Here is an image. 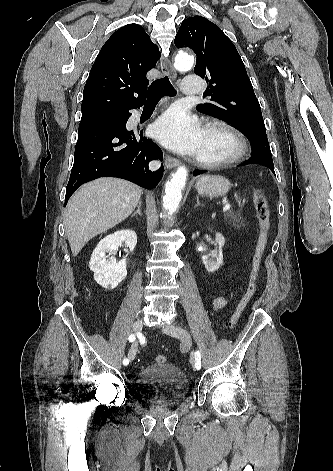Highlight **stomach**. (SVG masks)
<instances>
[{
  "mask_svg": "<svg viewBox=\"0 0 333 471\" xmlns=\"http://www.w3.org/2000/svg\"><path fill=\"white\" fill-rule=\"evenodd\" d=\"M195 189L202 195L221 197L229 191L230 183L220 175H203L196 182Z\"/></svg>",
  "mask_w": 333,
  "mask_h": 471,
  "instance_id": "1",
  "label": "stomach"
}]
</instances>
